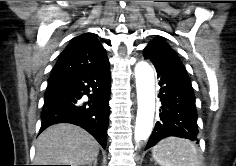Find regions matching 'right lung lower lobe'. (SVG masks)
Here are the masks:
<instances>
[{
  "label": "right lung lower lobe",
  "mask_w": 236,
  "mask_h": 166,
  "mask_svg": "<svg viewBox=\"0 0 236 166\" xmlns=\"http://www.w3.org/2000/svg\"><path fill=\"white\" fill-rule=\"evenodd\" d=\"M110 85L109 63L89 72L52 74L45 92L40 133L53 124L72 123L87 130L105 148ZM84 95L90 101L84 102Z\"/></svg>",
  "instance_id": "right-lung-lower-lobe-1"
}]
</instances>
